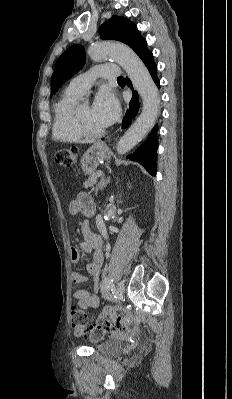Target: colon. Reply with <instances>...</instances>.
Instances as JSON below:
<instances>
[{"label":"colon","instance_id":"colon-1","mask_svg":"<svg viewBox=\"0 0 232 399\" xmlns=\"http://www.w3.org/2000/svg\"><path fill=\"white\" fill-rule=\"evenodd\" d=\"M61 165L66 167L76 165L72 146L61 150V153H56V166ZM107 324H126V330H136L139 327V322L133 313H129V308H116V313H101L98 325L96 322H88L85 310L80 311V308H75L71 314V336L77 335V338H82L87 334L93 341H100V335H115V328H108Z\"/></svg>","mask_w":232,"mask_h":399}]
</instances>
